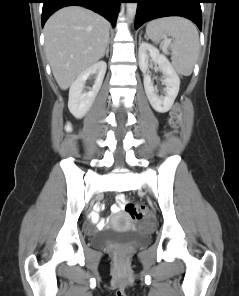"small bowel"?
I'll return each instance as SVG.
<instances>
[{"instance_id": "c3829d8e", "label": "small bowel", "mask_w": 239, "mask_h": 296, "mask_svg": "<svg viewBox=\"0 0 239 296\" xmlns=\"http://www.w3.org/2000/svg\"><path fill=\"white\" fill-rule=\"evenodd\" d=\"M123 200H124V196L123 195H119L118 198H117L118 203L112 207V212L113 213L120 212L121 206H122L121 203L123 202ZM91 219H92V221L95 224H98L99 225L101 223V220L99 219V215H98L97 212H93L91 214Z\"/></svg>"}]
</instances>
